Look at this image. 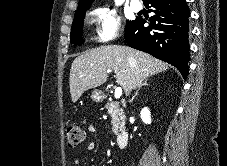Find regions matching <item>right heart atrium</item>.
<instances>
[{
    "label": "right heart atrium",
    "mask_w": 227,
    "mask_h": 166,
    "mask_svg": "<svg viewBox=\"0 0 227 166\" xmlns=\"http://www.w3.org/2000/svg\"><path fill=\"white\" fill-rule=\"evenodd\" d=\"M90 18L95 25V39L101 43L111 42L118 36L121 28L119 15L106 6L94 8Z\"/></svg>",
    "instance_id": "d8ad5b80"
}]
</instances>
